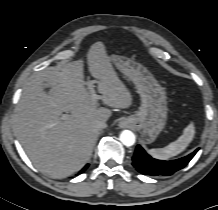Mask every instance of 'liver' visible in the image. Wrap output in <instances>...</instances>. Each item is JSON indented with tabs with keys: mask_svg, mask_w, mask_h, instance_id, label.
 Returning a JSON list of instances; mask_svg holds the SVG:
<instances>
[{
	"mask_svg": "<svg viewBox=\"0 0 218 210\" xmlns=\"http://www.w3.org/2000/svg\"><path fill=\"white\" fill-rule=\"evenodd\" d=\"M87 64L106 107L92 100L82 61L47 68L31 77L16 107L15 131L21 146L33 165L52 178L70 176L89 161L99 133L95 123L111 116L107 107L124 109L132 104V95L101 42L89 49ZM63 112L71 113L67 120L61 119Z\"/></svg>",
	"mask_w": 218,
	"mask_h": 210,
	"instance_id": "6515ba94",
	"label": "liver"
}]
</instances>
